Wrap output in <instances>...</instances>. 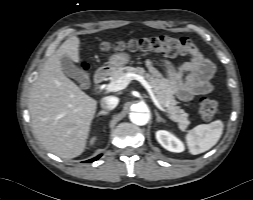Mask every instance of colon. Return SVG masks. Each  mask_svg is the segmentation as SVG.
<instances>
[{"label": "colon", "mask_w": 253, "mask_h": 200, "mask_svg": "<svg viewBox=\"0 0 253 200\" xmlns=\"http://www.w3.org/2000/svg\"><path fill=\"white\" fill-rule=\"evenodd\" d=\"M102 48L105 51L123 50L129 48L131 50H140L143 52H151L161 54L166 57L174 56H192L195 46L192 42L184 37L171 36H155L143 38L139 40H130L128 42H104ZM218 111L217 102L208 98H203L200 102L199 114L202 119L211 120Z\"/></svg>", "instance_id": "colon-1"}]
</instances>
